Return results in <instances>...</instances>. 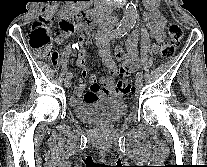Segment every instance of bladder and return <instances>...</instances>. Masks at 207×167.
I'll use <instances>...</instances> for the list:
<instances>
[{"mask_svg":"<svg viewBox=\"0 0 207 167\" xmlns=\"http://www.w3.org/2000/svg\"><path fill=\"white\" fill-rule=\"evenodd\" d=\"M127 111L119 96H108L96 101L83 102L75 108L76 117L93 124H108L118 121Z\"/></svg>","mask_w":207,"mask_h":167,"instance_id":"31cf9c89","label":"bladder"}]
</instances>
